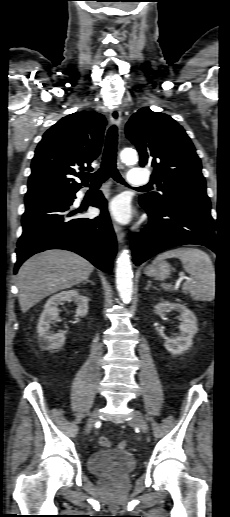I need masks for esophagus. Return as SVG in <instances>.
I'll return each instance as SVG.
<instances>
[{
    "label": "esophagus",
    "mask_w": 230,
    "mask_h": 517,
    "mask_svg": "<svg viewBox=\"0 0 230 517\" xmlns=\"http://www.w3.org/2000/svg\"><path fill=\"white\" fill-rule=\"evenodd\" d=\"M121 120H122V118H121L120 110L118 108H113L110 111V122H111V124L116 125V126H120ZM113 228H114L117 240L120 243H122L123 239L125 237V233H124L123 229L117 223H113Z\"/></svg>",
    "instance_id": "obj_1"
}]
</instances>
